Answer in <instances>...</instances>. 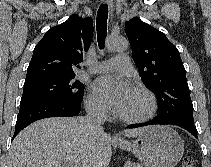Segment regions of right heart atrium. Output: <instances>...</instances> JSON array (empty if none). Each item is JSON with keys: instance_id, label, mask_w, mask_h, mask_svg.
Returning a JSON list of instances; mask_svg holds the SVG:
<instances>
[{"instance_id": "d8ad5b80", "label": "right heart atrium", "mask_w": 211, "mask_h": 167, "mask_svg": "<svg viewBox=\"0 0 211 167\" xmlns=\"http://www.w3.org/2000/svg\"><path fill=\"white\" fill-rule=\"evenodd\" d=\"M86 104L88 109L96 114H104L105 113V107L104 105L93 95H89Z\"/></svg>"}]
</instances>
